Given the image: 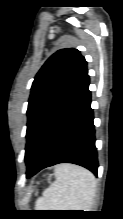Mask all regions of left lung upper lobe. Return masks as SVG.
Returning a JSON list of instances; mask_svg holds the SVG:
<instances>
[{
    "mask_svg": "<svg viewBox=\"0 0 123 219\" xmlns=\"http://www.w3.org/2000/svg\"><path fill=\"white\" fill-rule=\"evenodd\" d=\"M87 75V62L74 48L57 51L39 70L31 87L27 110L26 163L47 121Z\"/></svg>",
    "mask_w": 123,
    "mask_h": 219,
    "instance_id": "left-lung-upper-lobe-1",
    "label": "left lung upper lobe"
}]
</instances>
